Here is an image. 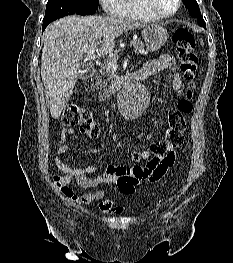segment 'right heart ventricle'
<instances>
[{"label": "right heart ventricle", "mask_w": 233, "mask_h": 263, "mask_svg": "<svg viewBox=\"0 0 233 263\" xmlns=\"http://www.w3.org/2000/svg\"><path fill=\"white\" fill-rule=\"evenodd\" d=\"M114 14L121 18L146 22L160 19L149 9L146 0H118Z\"/></svg>", "instance_id": "right-heart-ventricle-1"}]
</instances>
